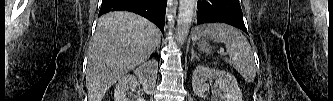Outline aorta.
Returning <instances> with one entry per match:
<instances>
[{
    "instance_id": "762f6f07",
    "label": "aorta",
    "mask_w": 333,
    "mask_h": 101,
    "mask_svg": "<svg viewBox=\"0 0 333 101\" xmlns=\"http://www.w3.org/2000/svg\"><path fill=\"white\" fill-rule=\"evenodd\" d=\"M195 8L196 0H180L176 33L177 41L180 44L184 43L188 36Z\"/></svg>"
}]
</instances>
